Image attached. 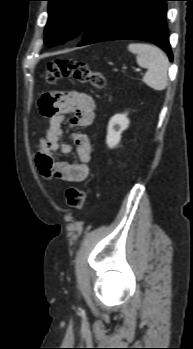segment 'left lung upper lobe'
<instances>
[{"label":"left lung upper lobe","mask_w":193,"mask_h":349,"mask_svg":"<svg viewBox=\"0 0 193 349\" xmlns=\"http://www.w3.org/2000/svg\"><path fill=\"white\" fill-rule=\"evenodd\" d=\"M49 18L45 27V42L64 43L83 33L96 18L107 0H46Z\"/></svg>","instance_id":"obj_1"}]
</instances>
